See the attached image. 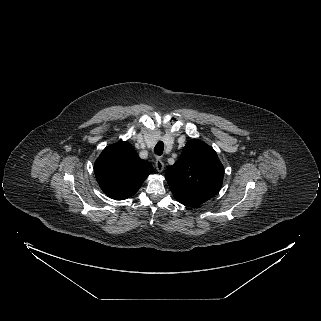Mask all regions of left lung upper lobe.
Listing matches in <instances>:
<instances>
[{
    "label": "left lung upper lobe",
    "instance_id": "5c2ea615",
    "mask_svg": "<svg viewBox=\"0 0 321 321\" xmlns=\"http://www.w3.org/2000/svg\"><path fill=\"white\" fill-rule=\"evenodd\" d=\"M223 176L224 169L216 152L198 139L189 140L180 158L165 172L175 199L192 207L215 196Z\"/></svg>",
    "mask_w": 321,
    "mask_h": 321
}]
</instances>
